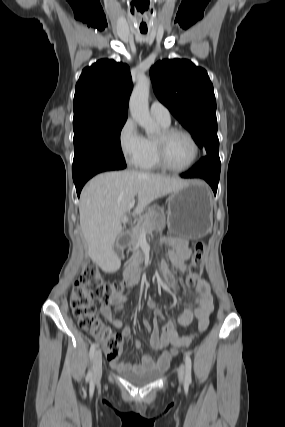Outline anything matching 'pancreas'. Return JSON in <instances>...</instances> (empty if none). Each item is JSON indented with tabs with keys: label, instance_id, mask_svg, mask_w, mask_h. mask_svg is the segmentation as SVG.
Segmentation results:
<instances>
[{
	"label": "pancreas",
	"instance_id": "cf45deb5",
	"mask_svg": "<svg viewBox=\"0 0 285 427\" xmlns=\"http://www.w3.org/2000/svg\"><path fill=\"white\" fill-rule=\"evenodd\" d=\"M157 226L158 221L155 212L148 210L145 214L139 217L136 225L132 228V244L137 245L142 232L146 231L147 233H150Z\"/></svg>",
	"mask_w": 285,
	"mask_h": 427
}]
</instances>
